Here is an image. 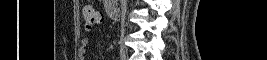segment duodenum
<instances>
[{
  "instance_id": "duodenum-1",
  "label": "duodenum",
  "mask_w": 267,
  "mask_h": 60,
  "mask_svg": "<svg viewBox=\"0 0 267 60\" xmlns=\"http://www.w3.org/2000/svg\"><path fill=\"white\" fill-rule=\"evenodd\" d=\"M116 0L107 1V12L111 19H117L119 16V6Z\"/></svg>"
}]
</instances>
